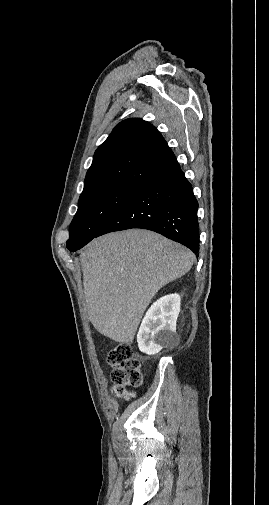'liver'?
Listing matches in <instances>:
<instances>
[{"label": "liver", "mask_w": 269, "mask_h": 505, "mask_svg": "<svg viewBox=\"0 0 269 505\" xmlns=\"http://www.w3.org/2000/svg\"><path fill=\"white\" fill-rule=\"evenodd\" d=\"M194 260L183 245L142 229L92 240L80 256L92 325L116 342H132L154 295L185 275Z\"/></svg>", "instance_id": "6515ba94"}]
</instances>
